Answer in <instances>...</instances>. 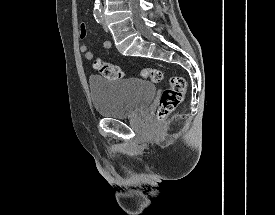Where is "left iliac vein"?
I'll list each match as a JSON object with an SVG mask.
<instances>
[{
    "instance_id": "4c4485c4",
    "label": "left iliac vein",
    "mask_w": 275,
    "mask_h": 215,
    "mask_svg": "<svg viewBox=\"0 0 275 215\" xmlns=\"http://www.w3.org/2000/svg\"><path fill=\"white\" fill-rule=\"evenodd\" d=\"M102 10H103V9H102ZM102 25H103V29H104L105 31H108V27H107V24H106L104 18H102Z\"/></svg>"
}]
</instances>
